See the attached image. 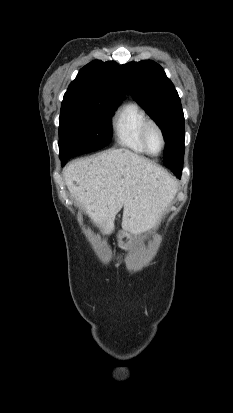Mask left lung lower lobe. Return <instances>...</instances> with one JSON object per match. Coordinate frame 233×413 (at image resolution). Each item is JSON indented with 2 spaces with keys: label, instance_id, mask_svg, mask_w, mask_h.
<instances>
[{
  "label": "left lung lower lobe",
  "instance_id": "0a47b994",
  "mask_svg": "<svg viewBox=\"0 0 233 413\" xmlns=\"http://www.w3.org/2000/svg\"><path fill=\"white\" fill-rule=\"evenodd\" d=\"M174 174H175L178 178H180V177H181V174H182V167H180V168H175V169H174Z\"/></svg>",
  "mask_w": 233,
  "mask_h": 413
}]
</instances>
